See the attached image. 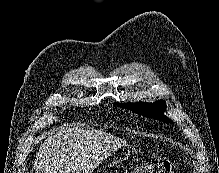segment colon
Wrapping results in <instances>:
<instances>
[{
	"label": "colon",
	"instance_id": "5ec220e1",
	"mask_svg": "<svg viewBox=\"0 0 219 173\" xmlns=\"http://www.w3.org/2000/svg\"><path fill=\"white\" fill-rule=\"evenodd\" d=\"M124 173H173L167 161L152 160L143 165L127 169Z\"/></svg>",
	"mask_w": 219,
	"mask_h": 173
}]
</instances>
